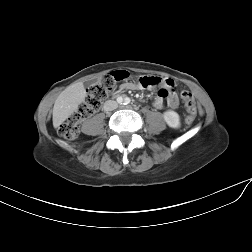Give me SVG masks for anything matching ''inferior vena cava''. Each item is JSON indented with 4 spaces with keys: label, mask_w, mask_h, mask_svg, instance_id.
I'll return each instance as SVG.
<instances>
[{
    "label": "inferior vena cava",
    "mask_w": 252,
    "mask_h": 252,
    "mask_svg": "<svg viewBox=\"0 0 252 252\" xmlns=\"http://www.w3.org/2000/svg\"><path fill=\"white\" fill-rule=\"evenodd\" d=\"M118 107V104L114 100H108L104 103L103 109L104 111H112Z\"/></svg>",
    "instance_id": "1"
}]
</instances>
